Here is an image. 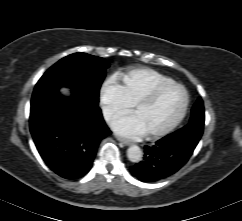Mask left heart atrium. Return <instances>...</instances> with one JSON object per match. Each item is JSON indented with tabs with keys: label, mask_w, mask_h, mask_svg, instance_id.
Segmentation results:
<instances>
[{
	"label": "left heart atrium",
	"mask_w": 242,
	"mask_h": 221,
	"mask_svg": "<svg viewBox=\"0 0 242 221\" xmlns=\"http://www.w3.org/2000/svg\"><path fill=\"white\" fill-rule=\"evenodd\" d=\"M113 130L127 138H139L146 134V130L135 113L126 114L113 120Z\"/></svg>",
	"instance_id": "left-heart-atrium-1"
}]
</instances>
